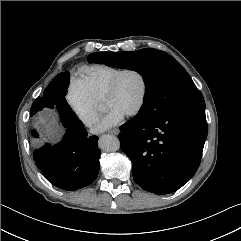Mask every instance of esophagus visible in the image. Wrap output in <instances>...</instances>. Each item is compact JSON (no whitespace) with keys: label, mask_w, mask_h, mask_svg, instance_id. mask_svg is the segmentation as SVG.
<instances>
[{"label":"esophagus","mask_w":241,"mask_h":241,"mask_svg":"<svg viewBox=\"0 0 241 241\" xmlns=\"http://www.w3.org/2000/svg\"><path fill=\"white\" fill-rule=\"evenodd\" d=\"M110 134H113V135H117L119 133V130L118 129H113L111 131H109Z\"/></svg>","instance_id":"34e87169"}]
</instances>
